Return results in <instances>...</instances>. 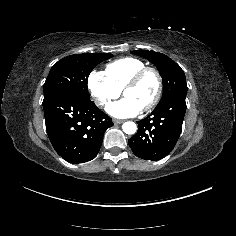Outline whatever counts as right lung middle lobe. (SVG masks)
I'll return each mask as SVG.
<instances>
[{
    "label": "right lung middle lobe",
    "mask_w": 236,
    "mask_h": 236,
    "mask_svg": "<svg viewBox=\"0 0 236 236\" xmlns=\"http://www.w3.org/2000/svg\"><path fill=\"white\" fill-rule=\"evenodd\" d=\"M112 56L110 53H84L61 59L51 68L45 81L44 100L64 93L88 101L87 80L90 72L97 64Z\"/></svg>",
    "instance_id": "1"
}]
</instances>
